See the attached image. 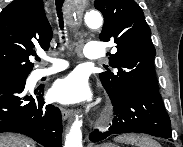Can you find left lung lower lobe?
Returning a JSON list of instances; mask_svg holds the SVG:
<instances>
[{"label":"left lung lower lobe","mask_w":183,"mask_h":147,"mask_svg":"<svg viewBox=\"0 0 183 147\" xmlns=\"http://www.w3.org/2000/svg\"><path fill=\"white\" fill-rule=\"evenodd\" d=\"M114 106L113 124L108 132L95 130L92 142L105 139L110 134L145 133L156 137L171 138L170 118L165 111L159 91L129 87L111 98Z\"/></svg>","instance_id":"0a47b994"}]
</instances>
